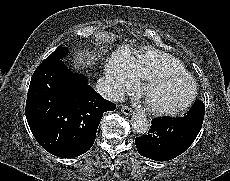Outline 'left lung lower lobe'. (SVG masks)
<instances>
[{"label": "left lung lower lobe", "mask_w": 230, "mask_h": 181, "mask_svg": "<svg viewBox=\"0 0 230 181\" xmlns=\"http://www.w3.org/2000/svg\"><path fill=\"white\" fill-rule=\"evenodd\" d=\"M204 113V103L196 100L184 117L153 119L148 135L135 139L139 154L155 161H168L179 156L197 137Z\"/></svg>", "instance_id": "obj_1"}]
</instances>
